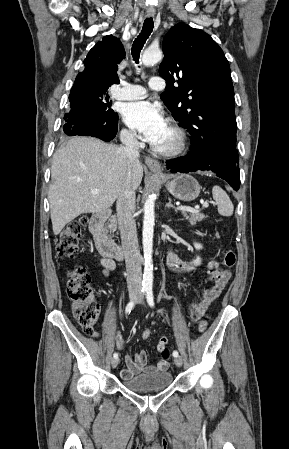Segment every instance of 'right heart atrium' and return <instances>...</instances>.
<instances>
[{
  "instance_id": "d8ad5b80",
  "label": "right heart atrium",
  "mask_w": 289,
  "mask_h": 449,
  "mask_svg": "<svg viewBox=\"0 0 289 449\" xmlns=\"http://www.w3.org/2000/svg\"><path fill=\"white\" fill-rule=\"evenodd\" d=\"M122 138L127 143H132L135 141L134 134L130 130H127V129H124L122 131Z\"/></svg>"
}]
</instances>
